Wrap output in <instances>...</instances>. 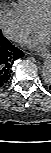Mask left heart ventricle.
I'll return each instance as SVG.
<instances>
[{
	"mask_svg": "<svg viewBox=\"0 0 51 153\" xmlns=\"http://www.w3.org/2000/svg\"><path fill=\"white\" fill-rule=\"evenodd\" d=\"M42 30L49 36L51 35V20H46L43 23Z\"/></svg>",
	"mask_w": 51,
	"mask_h": 153,
	"instance_id": "obj_1",
	"label": "left heart ventricle"
}]
</instances>
